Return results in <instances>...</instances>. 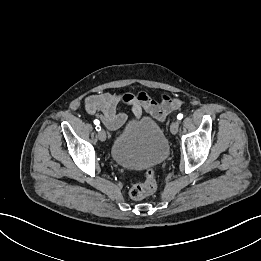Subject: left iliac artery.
Listing matches in <instances>:
<instances>
[{
	"mask_svg": "<svg viewBox=\"0 0 261 261\" xmlns=\"http://www.w3.org/2000/svg\"><path fill=\"white\" fill-rule=\"evenodd\" d=\"M183 118V114L182 113H179L178 115H177V119L178 120H181Z\"/></svg>",
	"mask_w": 261,
	"mask_h": 261,
	"instance_id": "obj_1",
	"label": "left iliac artery"
}]
</instances>
